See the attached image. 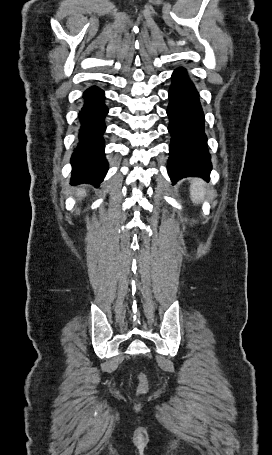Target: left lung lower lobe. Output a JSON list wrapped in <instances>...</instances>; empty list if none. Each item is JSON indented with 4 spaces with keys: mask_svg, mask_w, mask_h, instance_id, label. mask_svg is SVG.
<instances>
[{
    "mask_svg": "<svg viewBox=\"0 0 272 455\" xmlns=\"http://www.w3.org/2000/svg\"><path fill=\"white\" fill-rule=\"evenodd\" d=\"M167 114L171 134L168 174L176 181L198 176L208 180L212 168L199 95L183 68L172 75Z\"/></svg>",
    "mask_w": 272,
    "mask_h": 455,
    "instance_id": "1",
    "label": "left lung lower lobe"
}]
</instances>
